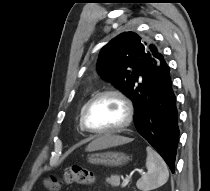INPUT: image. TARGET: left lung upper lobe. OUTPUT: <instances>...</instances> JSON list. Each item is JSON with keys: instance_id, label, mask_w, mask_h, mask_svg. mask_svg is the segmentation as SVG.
Here are the masks:
<instances>
[{"instance_id": "left-lung-upper-lobe-1", "label": "left lung upper lobe", "mask_w": 210, "mask_h": 191, "mask_svg": "<svg viewBox=\"0 0 210 191\" xmlns=\"http://www.w3.org/2000/svg\"><path fill=\"white\" fill-rule=\"evenodd\" d=\"M164 64L155 46L135 32H124L101 49L97 70L133 101L136 112L141 95L150 92L154 75Z\"/></svg>"}]
</instances>
